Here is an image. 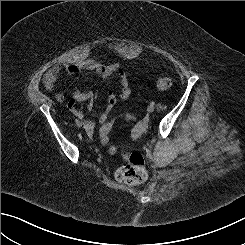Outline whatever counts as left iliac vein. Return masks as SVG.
I'll return each mask as SVG.
<instances>
[{
    "label": "left iliac vein",
    "mask_w": 245,
    "mask_h": 245,
    "mask_svg": "<svg viewBox=\"0 0 245 245\" xmlns=\"http://www.w3.org/2000/svg\"><path fill=\"white\" fill-rule=\"evenodd\" d=\"M154 110H155V107L152 105L148 106V108H147V111L150 113H152Z\"/></svg>",
    "instance_id": "1"
}]
</instances>
